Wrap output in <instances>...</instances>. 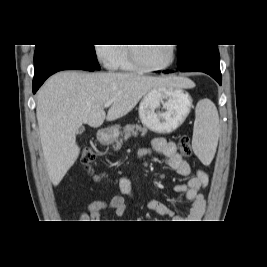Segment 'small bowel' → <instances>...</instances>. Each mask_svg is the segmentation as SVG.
I'll return each mask as SVG.
<instances>
[{
    "label": "small bowel",
    "instance_id": "small-bowel-1",
    "mask_svg": "<svg viewBox=\"0 0 267 267\" xmlns=\"http://www.w3.org/2000/svg\"><path fill=\"white\" fill-rule=\"evenodd\" d=\"M153 152L163 155L166 164L178 175L189 177L186 184L176 185L174 191L185 194L191 202V206L188 213L182 217L176 216L170 207L155 199L147 202V208L160 216L178 220L175 222H196L202 217L205 210V199L200 190L208 184V175L201 169L192 170L189 163L177 152L176 145L172 141L164 138L153 139L151 147L140 149L138 156L143 157ZM119 189L125 196L130 198L134 196L132 181L126 175L119 179ZM107 208L113 209L117 217H122L126 212L127 203L122 195H114L108 201L94 200L82 212L79 219L81 222H98L101 213Z\"/></svg>",
    "mask_w": 267,
    "mask_h": 267
}]
</instances>
